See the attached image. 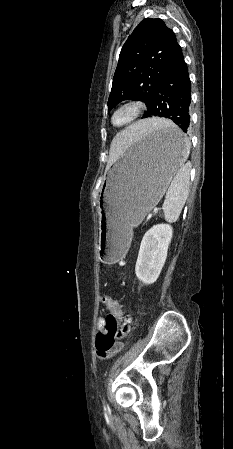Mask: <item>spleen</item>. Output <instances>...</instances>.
I'll use <instances>...</instances> for the list:
<instances>
[{
  "label": "spleen",
  "instance_id": "spleen-1",
  "mask_svg": "<svg viewBox=\"0 0 233 449\" xmlns=\"http://www.w3.org/2000/svg\"><path fill=\"white\" fill-rule=\"evenodd\" d=\"M170 125H173L170 122ZM169 125H165L168 127ZM187 143V150L185 151V158L189 152L190 143ZM186 160V159H185ZM190 185V168L188 164L182 163L174 176L171 185L166 192L165 201L162 209L164 212V219L167 222H176L184 207L189 193Z\"/></svg>",
  "mask_w": 233,
  "mask_h": 449
}]
</instances>
